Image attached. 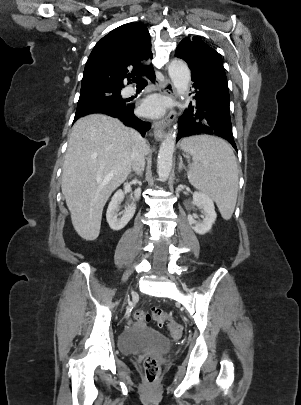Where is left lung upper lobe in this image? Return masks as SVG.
<instances>
[{
  "label": "left lung upper lobe",
  "mask_w": 301,
  "mask_h": 405,
  "mask_svg": "<svg viewBox=\"0 0 301 405\" xmlns=\"http://www.w3.org/2000/svg\"><path fill=\"white\" fill-rule=\"evenodd\" d=\"M175 56L187 62L192 76H198L220 94L229 97L225 70L218 53L201 38L186 37L176 48Z\"/></svg>",
  "instance_id": "left-lung-upper-lobe-1"
}]
</instances>
